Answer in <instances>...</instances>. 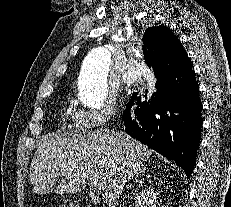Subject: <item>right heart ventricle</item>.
Returning <instances> with one entry per match:
<instances>
[{
    "mask_svg": "<svg viewBox=\"0 0 231 207\" xmlns=\"http://www.w3.org/2000/svg\"><path fill=\"white\" fill-rule=\"evenodd\" d=\"M64 118L67 121L68 126L71 129H76V128H80L79 124H78V120H77V113L74 111L72 106H67L64 109Z\"/></svg>",
    "mask_w": 231,
    "mask_h": 207,
    "instance_id": "right-heart-ventricle-1",
    "label": "right heart ventricle"
}]
</instances>
